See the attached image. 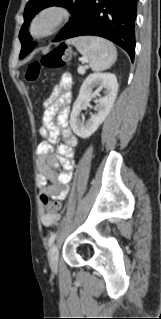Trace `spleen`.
<instances>
[{
	"instance_id": "obj_1",
	"label": "spleen",
	"mask_w": 161,
	"mask_h": 319,
	"mask_svg": "<svg viewBox=\"0 0 161 319\" xmlns=\"http://www.w3.org/2000/svg\"><path fill=\"white\" fill-rule=\"evenodd\" d=\"M71 43L83 55L93 71L110 68L116 61L117 51L114 45L100 37H77Z\"/></svg>"
}]
</instances>
